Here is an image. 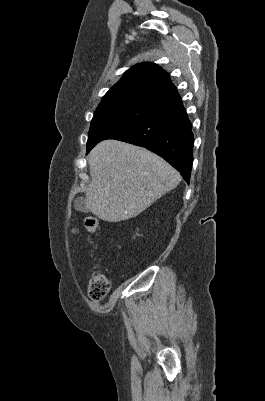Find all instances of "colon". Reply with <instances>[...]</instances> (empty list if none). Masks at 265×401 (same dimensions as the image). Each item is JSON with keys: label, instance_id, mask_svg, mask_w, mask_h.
I'll return each instance as SVG.
<instances>
[{"label": "colon", "instance_id": "colon-1", "mask_svg": "<svg viewBox=\"0 0 265 401\" xmlns=\"http://www.w3.org/2000/svg\"><path fill=\"white\" fill-rule=\"evenodd\" d=\"M84 226L87 232L96 233L99 229V221L96 217L88 216L84 220ZM74 233L77 230H73ZM111 289V281L104 273H97L91 277L88 283V296L94 303L103 300Z\"/></svg>", "mask_w": 265, "mask_h": 401}]
</instances>
